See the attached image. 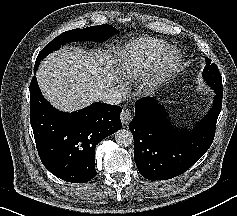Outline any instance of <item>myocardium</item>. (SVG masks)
I'll use <instances>...</instances> for the list:
<instances>
[{"label":"myocardium","instance_id":"f54148a6","mask_svg":"<svg viewBox=\"0 0 237 216\" xmlns=\"http://www.w3.org/2000/svg\"><path fill=\"white\" fill-rule=\"evenodd\" d=\"M173 55V64L167 69L168 57ZM184 61V53L177 45H169L161 53L156 65L146 72L134 88L132 95L141 96L156 93L163 85L171 83L179 74Z\"/></svg>","mask_w":237,"mask_h":216}]
</instances>
